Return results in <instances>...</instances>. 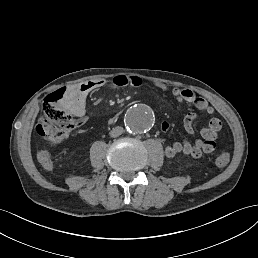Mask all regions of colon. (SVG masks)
<instances>
[{
    "mask_svg": "<svg viewBox=\"0 0 258 258\" xmlns=\"http://www.w3.org/2000/svg\"><path fill=\"white\" fill-rule=\"evenodd\" d=\"M66 91V88H61L46 96L42 116L36 125L37 134L52 145L61 142L72 130L79 127L83 121L72 116L61 106ZM229 160L230 155L228 152H219L215 156V164L219 168L225 167Z\"/></svg>",
    "mask_w": 258,
    "mask_h": 258,
    "instance_id": "1",
    "label": "colon"
}]
</instances>
